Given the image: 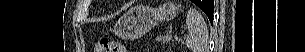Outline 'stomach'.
Segmentation results:
<instances>
[{
    "label": "stomach",
    "mask_w": 305,
    "mask_h": 52,
    "mask_svg": "<svg viewBox=\"0 0 305 52\" xmlns=\"http://www.w3.org/2000/svg\"><path fill=\"white\" fill-rule=\"evenodd\" d=\"M179 8L166 2L158 8L137 5L122 15L115 24L117 35L124 39H136L147 33L159 21L174 19Z\"/></svg>",
    "instance_id": "1"
}]
</instances>
